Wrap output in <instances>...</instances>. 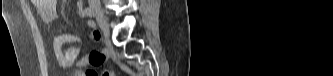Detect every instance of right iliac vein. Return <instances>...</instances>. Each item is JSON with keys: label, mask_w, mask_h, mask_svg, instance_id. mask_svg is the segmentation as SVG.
Instances as JSON below:
<instances>
[{"label": "right iliac vein", "mask_w": 333, "mask_h": 76, "mask_svg": "<svg viewBox=\"0 0 333 76\" xmlns=\"http://www.w3.org/2000/svg\"><path fill=\"white\" fill-rule=\"evenodd\" d=\"M91 9L93 10V13L96 17V20L101 28V30L103 31V33L106 36H109V24H108V20L106 18V16L104 15L102 9L100 8L99 5H93L91 7Z\"/></svg>", "instance_id": "obj_1"}]
</instances>
